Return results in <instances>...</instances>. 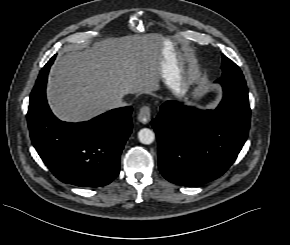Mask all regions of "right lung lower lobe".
Segmentation results:
<instances>
[{"label": "right lung lower lobe", "instance_id": "1", "mask_svg": "<svg viewBox=\"0 0 290 245\" xmlns=\"http://www.w3.org/2000/svg\"><path fill=\"white\" fill-rule=\"evenodd\" d=\"M55 56L42 68L30 95L27 122L32 143L62 182L99 187L119 174L120 154L132 132V107L110 110L90 121L57 119L46 100L47 76Z\"/></svg>", "mask_w": 290, "mask_h": 245}]
</instances>
